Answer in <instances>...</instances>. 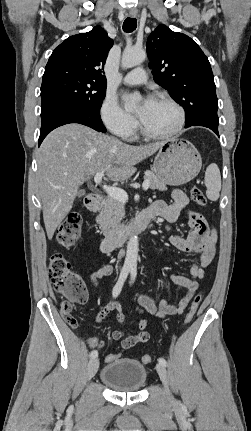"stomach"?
<instances>
[{
	"label": "stomach",
	"instance_id": "stomach-1",
	"mask_svg": "<svg viewBox=\"0 0 251 431\" xmlns=\"http://www.w3.org/2000/svg\"><path fill=\"white\" fill-rule=\"evenodd\" d=\"M202 166L197 149L184 139L163 142L154 163L156 176L170 186H180L194 179Z\"/></svg>",
	"mask_w": 251,
	"mask_h": 431
}]
</instances>
